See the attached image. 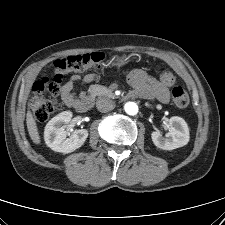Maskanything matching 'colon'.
Returning a JSON list of instances; mask_svg holds the SVG:
<instances>
[{
  "label": "colon",
  "instance_id": "obj_1",
  "mask_svg": "<svg viewBox=\"0 0 225 225\" xmlns=\"http://www.w3.org/2000/svg\"><path fill=\"white\" fill-rule=\"evenodd\" d=\"M104 54L92 52L68 56L55 63L56 73L53 77H43L33 86L29 106L36 119L44 122L49 119L57 104V97L61 93L60 82L66 73L83 72L88 68H99L104 61ZM161 79L165 84L171 85L175 82L172 72L164 70ZM172 96L175 104L179 107H186L189 103L187 92L182 86L176 85L172 89Z\"/></svg>",
  "mask_w": 225,
  "mask_h": 225
}]
</instances>
